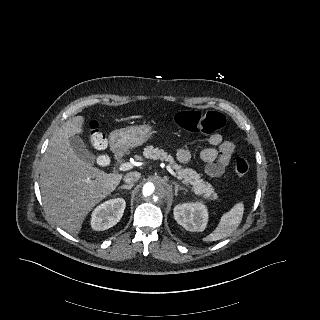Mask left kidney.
Here are the masks:
<instances>
[{"mask_svg": "<svg viewBox=\"0 0 320 320\" xmlns=\"http://www.w3.org/2000/svg\"><path fill=\"white\" fill-rule=\"evenodd\" d=\"M174 218L188 231H203L206 228L208 212L201 202L184 203L175 206Z\"/></svg>", "mask_w": 320, "mask_h": 320, "instance_id": "obj_1", "label": "left kidney"}]
</instances>
